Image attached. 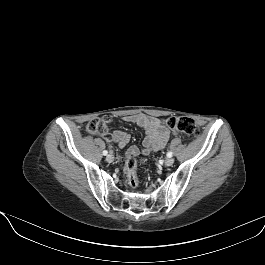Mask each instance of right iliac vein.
I'll use <instances>...</instances> for the list:
<instances>
[{
    "instance_id": "obj_1",
    "label": "right iliac vein",
    "mask_w": 265,
    "mask_h": 265,
    "mask_svg": "<svg viewBox=\"0 0 265 265\" xmlns=\"http://www.w3.org/2000/svg\"><path fill=\"white\" fill-rule=\"evenodd\" d=\"M113 160H114V156H113L112 154H108V155L106 156V161H107L108 163L113 162Z\"/></svg>"
}]
</instances>
